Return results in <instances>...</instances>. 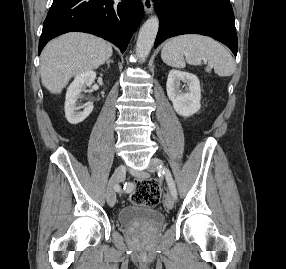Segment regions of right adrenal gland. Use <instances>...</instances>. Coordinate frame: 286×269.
<instances>
[{
    "instance_id": "2a0ac1e0",
    "label": "right adrenal gland",
    "mask_w": 286,
    "mask_h": 269,
    "mask_svg": "<svg viewBox=\"0 0 286 269\" xmlns=\"http://www.w3.org/2000/svg\"><path fill=\"white\" fill-rule=\"evenodd\" d=\"M107 65H108V68L110 67V63H113V60H107Z\"/></svg>"
}]
</instances>
